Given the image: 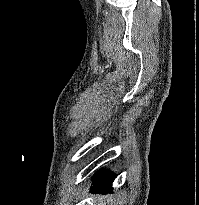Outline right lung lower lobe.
<instances>
[{"instance_id":"1","label":"right lung lower lobe","mask_w":199,"mask_h":205,"mask_svg":"<svg viewBox=\"0 0 199 205\" xmlns=\"http://www.w3.org/2000/svg\"><path fill=\"white\" fill-rule=\"evenodd\" d=\"M115 179V175L109 170H100L93 178V187H91V192L107 193L112 191V183Z\"/></svg>"}]
</instances>
